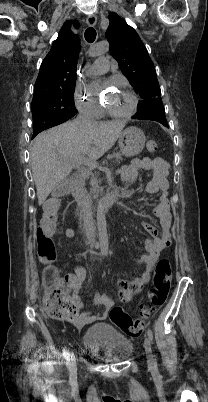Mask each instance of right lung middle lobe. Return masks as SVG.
Wrapping results in <instances>:
<instances>
[{
  "label": "right lung middle lobe",
  "instance_id": "1",
  "mask_svg": "<svg viewBox=\"0 0 208 402\" xmlns=\"http://www.w3.org/2000/svg\"><path fill=\"white\" fill-rule=\"evenodd\" d=\"M75 83L67 82L34 93L32 100L33 120L40 117H57L59 119L73 117L77 113L73 96Z\"/></svg>",
  "mask_w": 208,
  "mask_h": 402
}]
</instances>
